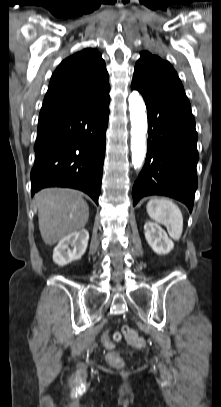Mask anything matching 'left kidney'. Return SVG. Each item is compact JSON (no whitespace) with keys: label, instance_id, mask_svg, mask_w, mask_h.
I'll use <instances>...</instances> for the list:
<instances>
[{"label":"left kidney","instance_id":"left-kidney-1","mask_svg":"<svg viewBox=\"0 0 221 407\" xmlns=\"http://www.w3.org/2000/svg\"><path fill=\"white\" fill-rule=\"evenodd\" d=\"M144 230L148 244L157 254H168L173 249V241L158 224L146 222Z\"/></svg>","mask_w":221,"mask_h":407}]
</instances>
